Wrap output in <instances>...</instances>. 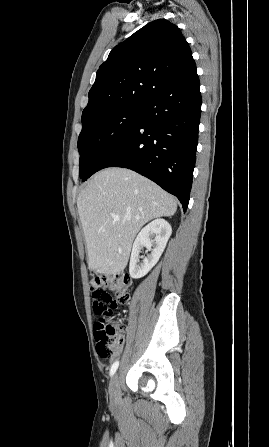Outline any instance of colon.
Masks as SVG:
<instances>
[{
  "label": "colon",
  "mask_w": 269,
  "mask_h": 447,
  "mask_svg": "<svg viewBox=\"0 0 269 447\" xmlns=\"http://www.w3.org/2000/svg\"><path fill=\"white\" fill-rule=\"evenodd\" d=\"M131 288L132 279L127 274L107 276L93 273L87 280V290L97 315L93 326L96 348L102 358L111 356L124 341L126 324L116 322L113 314L129 302Z\"/></svg>",
  "instance_id": "colon-1"
}]
</instances>
